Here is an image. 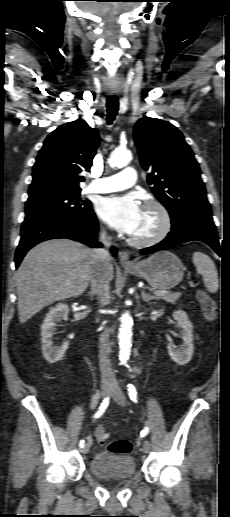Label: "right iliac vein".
<instances>
[{
  "mask_svg": "<svg viewBox=\"0 0 230 517\" xmlns=\"http://www.w3.org/2000/svg\"><path fill=\"white\" fill-rule=\"evenodd\" d=\"M111 392V387H110V384H105L102 386V389H101V396L102 398H105L107 397ZM81 452L83 454H87L89 452V444H85L82 449H81Z\"/></svg>",
  "mask_w": 230,
  "mask_h": 517,
  "instance_id": "obj_1",
  "label": "right iliac vein"
}]
</instances>
